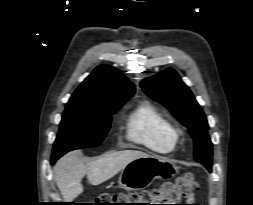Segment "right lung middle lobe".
Here are the masks:
<instances>
[{
  "mask_svg": "<svg viewBox=\"0 0 253 205\" xmlns=\"http://www.w3.org/2000/svg\"><path fill=\"white\" fill-rule=\"evenodd\" d=\"M128 99L114 100L98 109L66 107L54 143L52 159L57 160L73 149L100 145L109 131L111 114L117 111Z\"/></svg>",
  "mask_w": 253,
  "mask_h": 205,
  "instance_id": "dd1d6c3e",
  "label": "right lung middle lobe"
}]
</instances>
